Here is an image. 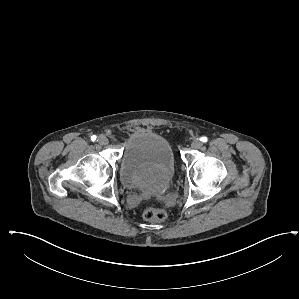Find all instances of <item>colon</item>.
I'll use <instances>...</instances> for the list:
<instances>
[{
	"label": "colon",
	"mask_w": 299,
	"mask_h": 299,
	"mask_svg": "<svg viewBox=\"0 0 299 299\" xmlns=\"http://www.w3.org/2000/svg\"><path fill=\"white\" fill-rule=\"evenodd\" d=\"M142 215L145 220L156 223L165 222L168 218V215L164 210L154 207L145 208Z\"/></svg>",
	"instance_id": "1"
}]
</instances>
